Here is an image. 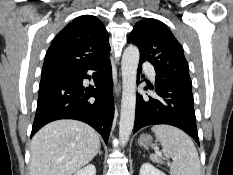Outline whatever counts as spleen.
Instances as JSON below:
<instances>
[{
    "label": "spleen",
    "instance_id": "obj_1",
    "mask_svg": "<svg viewBox=\"0 0 233 175\" xmlns=\"http://www.w3.org/2000/svg\"><path fill=\"white\" fill-rule=\"evenodd\" d=\"M162 145L165 158H172L171 175H201L198 152L191 138L179 128L155 125L151 128ZM164 159V158H163ZM150 160L163 163L159 154H151Z\"/></svg>",
    "mask_w": 233,
    "mask_h": 175
}]
</instances>
